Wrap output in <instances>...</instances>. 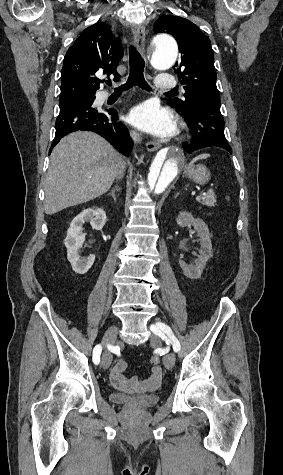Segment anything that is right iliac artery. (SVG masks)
Returning <instances> with one entry per match:
<instances>
[{
	"instance_id": "right-iliac-artery-1",
	"label": "right iliac artery",
	"mask_w": 283,
	"mask_h": 475,
	"mask_svg": "<svg viewBox=\"0 0 283 475\" xmlns=\"http://www.w3.org/2000/svg\"><path fill=\"white\" fill-rule=\"evenodd\" d=\"M102 347L101 345H96L93 349V362L97 365L100 362Z\"/></svg>"
}]
</instances>
